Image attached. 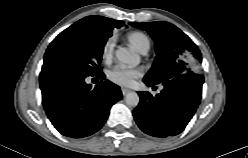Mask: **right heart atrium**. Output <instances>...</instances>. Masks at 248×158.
I'll return each mask as SVG.
<instances>
[{
	"mask_svg": "<svg viewBox=\"0 0 248 158\" xmlns=\"http://www.w3.org/2000/svg\"><path fill=\"white\" fill-rule=\"evenodd\" d=\"M113 56V42L108 39L102 47V58L104 61H110Z\"/></svg>",
	"mask_w": 248,
	"mask_h": 158,
	"instance_id": "right-heart-atrium-1",
	"label": "right heart atrium"
}]
</instances>
